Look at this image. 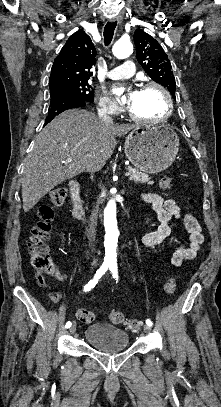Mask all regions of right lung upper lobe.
Here are the masks:
<instances>
[{"instance_id":"obj_1","label":"right lung upper lobe","mask_w":221,"mask_h":407,"mask_svg":"<svg viewBox=\"0 0 221 407\" xmlns=\"http://www.w3.org/2000/svg\"><path fill=\"white\" fill-rule=\"evenodd\" d=\"M96 49L90 37L78 30L67 40L55 58L49 78L50 90L88 81L95 66Z\"/></svg>"}]
</instances>
